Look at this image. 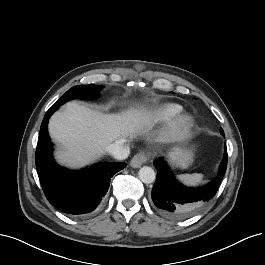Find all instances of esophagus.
Instances as JSON below:
<instances>
[{
    "label": "esophagus",
    "instance_id": "obj_1",
    "mask_svg": "<svg viewBox=\"0 0 265 265\" xmlns=\"http://www.w3.org/2000/svg\"><path fill=\"white\" fill-rule=\"evenodd\" d=\"M147 161V156L145 153L136 154L130 161V165L133 168L141 167Z\"/></svg>",
    "mask_w": 265,
    "mask_h": 265
}]
</instances>
